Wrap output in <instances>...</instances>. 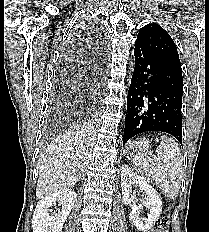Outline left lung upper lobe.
Wrapping results in <instances>:
<instances>
[{
  "label": "left lung upper lobe",
  "instance_id": "1",
  "mask_svg": "<svg viewBox=\"0 0 209 232\" xmlns=\"http://www.w3.org/2000/svg\"><path fill=\"white\" fill-rule=\"evenodd\" d=\"M135 43L147 48L167 62L181 66L175 43L160 25L151 23L142 27Z\"/></svg>",
  "mask_w": 209,
  "mask_h": 232
}]
</instances>
